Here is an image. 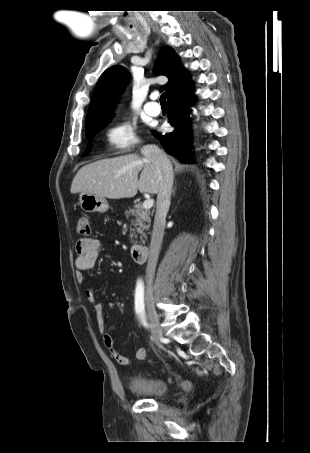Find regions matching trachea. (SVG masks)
I'll return each mask as SVG.
<instances>
[{"mask_svg": "<svg viewBox=\"0 0 310 453\" xmlns=\"http://www.w3.org/2000/svg\"><path fill=\"white\" fill-rule=\"evenodd\" d=\"M160 103H161V105H166L165 93L161 94V96H160Z\"/></svg>", "mask_w": 310, "mask_h": 453, "instance_id": "1", "label": "trachea"}]
</instances>
